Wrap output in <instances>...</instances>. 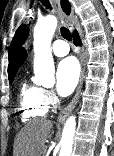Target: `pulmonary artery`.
<instances>
[{
	"label": "pulmonary artery",
	"instance_id": "pulmonary-artery-1",
	"mask_svg": "<svg viewBox=\"0 0 114 156\" xmlns=\"http://www.w3.org/2000/svg\"><path fill=\"white\" fill-rule=\"evenodd\" d=\"M69 50V45L64 40H56L52 45V52L57 57L67 55Z\"/></svg>",
	"mask_w": 114,
	"mask_h": 156
}]
</instances>
